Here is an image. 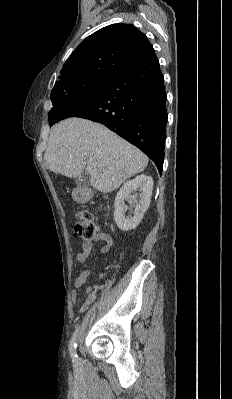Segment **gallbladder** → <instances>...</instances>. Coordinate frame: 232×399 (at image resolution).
Here are the masks:
<instances>
[{
	"instance_id": "obj_1",
	"label": "gallbladder",
	"mask_w": 232,
	"mask_h": 399,
	"mask_svg": "<svg viewBox=\"0 0 232 399\" xmlns=\"http://www.w3.org/2000/svg\"><path fill=\"white\" fill-rule=\"evenodd\" d=\"M89 182H90V176L88 172H85V170H83L80 176L76 178V184H78V186H85V188H87V186H89Z\"/></svg>"
}]
</instances>
